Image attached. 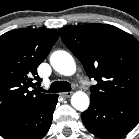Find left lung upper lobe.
Segmentation results:
<instances>
[{"label":"left lung upper lobe","mask_w":139,"mask_h":139,"mask_svg":"<svg viewBox=\"0 0 139 139\" xmlns=\"http://www.w3.org/2000/svg\"><path fill=\"white\" fill-rule=\"evenodd\" d=\"M59 31L87 75L97 81L90 98L107 104L139 97V42L132 35L107 24Z\"/></svg>","instance_id":"left-lung-upper-lobe-1"}]
</instances>
